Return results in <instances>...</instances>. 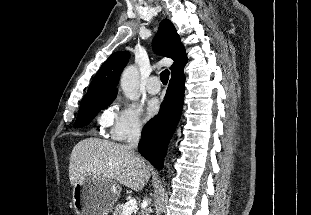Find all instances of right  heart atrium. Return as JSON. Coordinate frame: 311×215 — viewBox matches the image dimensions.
I'll list each match as a JSON object with an SVG mask.
<instances>
[{"label":"right heart atrium","mask_w":311,"mask_h":215,"mask_svg":"<svg viewBox=\"0 0 311 215\" xmlns=\"http://www.w3.org/2000/svg\"><path fill=\"white\" fill-rule=\"evenodd\" d=\"M99 123L108 129L107 135L114 141L137 139L143 132L141 109L134 103L118 100L100 117Z\"/></svg>","instance_id":"right-heart-atrium-1"}]
</instances>
